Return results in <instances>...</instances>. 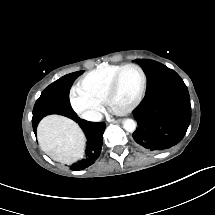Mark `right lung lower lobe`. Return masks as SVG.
<instances>
[{
    "label": "right lung lower lobe",
    "mask_w": 215,
    "mask_h": 215,
    "mask_svg": "<svg viewBox=\"0 0 215 215\" xmlns=\"http://www.w3.org/2000/svg\"><path fill=\"white\" fill-rule=\"evenodd\" d=\"M42 118L37 119L36 121H32L33 130L35 134L37 125ZM69 118L79 123L80 127L82 128L87 137L85 158L82 159L79 163L74 164L70 167L71 170L75 171L83 170L92 165L95 162V160L99 157L102 148L103 133L106 125L104 123H95L88 122L86 120H80L79 117H77V115L75 117Z\"/></svg>",
    "instance_id": "98d812e1"
}]
</instances>
